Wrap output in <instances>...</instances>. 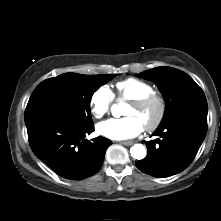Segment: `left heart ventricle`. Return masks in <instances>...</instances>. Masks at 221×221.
I'll return each mask as SVG.
<instances>
[{"instance_id": "left-heart-ventricle-1", "label": "left heart ventricle", "mask_w": 221, "mask_h": 221, "mask_svg": "<svg viewBox=\"0 0 221 221\" xmlns=\"http://www.w3.org/2000/svg\"><path fill=\"white\" fill-rule=\"evenodd\" d=\"M157 113L158 107L156 104H152L145 108H136L129 104L124 112V115L136 117L145 127L154 121V119L157 116Z\"/></svg>"}]
</instances>
